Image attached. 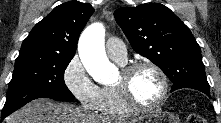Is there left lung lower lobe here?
I'll return each mask as SVG.
<instances>
[{
    "label": "left lung lower lobe",
    "instance_id": "1",
    "mask_svg": "<svg viewBox=\"0 0 221 123\" xmlns=\"http://www.w3.org/2000/svg\"><path fill=\"white\" fill-rule=\"evenodd\" d=\"M202 92H203V91H202ZM203 93H205L208 97L211 98V96H210V91H205V92H203Z\"/></svg>",
    "mask_w": 221,
    "mask_h": 123
}]
</instances>
